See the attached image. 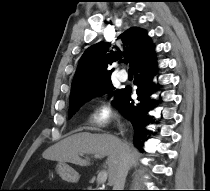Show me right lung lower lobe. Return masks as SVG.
<instances>
[{"label": "right lung lower lobe", "mask_w": 210, "mask_h": 191, "mask_svg": "<svg viewBox=\"0 0 210 191\" xmlns=\"http://www.w3.org/2000/svg\"><path fill=\"white\" fill-rule=\"evenodd\" d=\"M137 85V102L131 99L130 86L121 89L116 96L114 105H119L122 114L132 123L134 128V143L141 149L152 132L145 127L149 124L148 112L154 108L155 100L150 98L157 88L151 84L155 75L156 60L154 59V45L150 43L135 59L132 65ZM151 122H153L151 120Z\"/></svg>", "instance_id": "1"}]
</instances>
